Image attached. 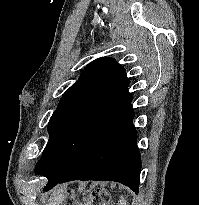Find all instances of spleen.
I'll list each match as a JSON object with an SVG mask.
<instances>
[{
    "mask_svg": "<svg viewBox=\"0 0 199 205\" xmlns=\"http://www.w3.org/2000/svg\"><path fill=\"white\" fill-rule=\"evenodd\" d=\"M126 204H127L126 198H124L123 196H120V199L118 201V205H126Z\"/></svg>",
    "mask_w": 199,
    "mask_h": 205,
    "instance_id": "obj_1",
    "label": "spleen"
}]
</instances>
